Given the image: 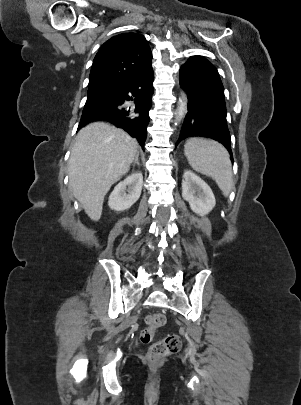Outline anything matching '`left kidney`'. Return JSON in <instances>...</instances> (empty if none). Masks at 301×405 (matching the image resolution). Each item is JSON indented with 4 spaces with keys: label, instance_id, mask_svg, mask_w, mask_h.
<instances>
[{
    "label": "left kidney",
    "instance_id": "left-kidney-1",
    "mask_svg": "<svg viewBox=\"0 0 301 405\" xmlns=\"http://www.w3.org/2000/svg\"><path fill=\"white\" fill-rule=\"evenodd\" d=\"M182 197L189 202L191 210L200 216L208 214L216 204L208 184L191 171L184 172Z\"/></svg>",
    "mask_w": 301,
    "mask_h": 405
}]
</instances>
